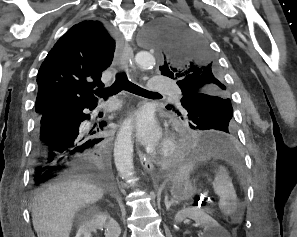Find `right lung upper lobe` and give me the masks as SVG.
I'll use <instances>...</instances> for the list:
<instances>
[{
	"instance_id": "right-lung-upper-lobe-1",
	"label": "right lung upper lobe",
	"mask_w": 297,
	"mask_h": 237,
	"mask_svg": "<svg viewBox=\"0 0 297 237\" xmlns=\"http://www.w3.org/2000/svg\"><path fill=\"white\" fill-rule=\"evenodd\" d=\"M115 42L99 21L80 22L48 53L38 75L37 116L52 109L97 103L93 89L102 86V72L111 64Z\"/></svg>"
}]
</instances>
